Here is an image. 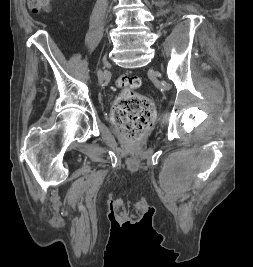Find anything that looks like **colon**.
Segmentation results:
<instances>
[{"label":"colon","mask_w":253,"mask_h":267,"mask_svg":"<svg viewBox=\"0 0 253 267\" xmlns=\"http://www.w3.org/2000/svg\"><path fill=\"white\" fill-rule=\"evenodd\" d=\"M52 0H28L34 13L48 11ZM117 86L122 90L117 98L112 122L117 132L131 143H136L147 131L154 115L153 102L136 92L141 80L135 75L123 74L118 77Z\"/></svg>","instance_id":"obj_1"}]
</instances>
